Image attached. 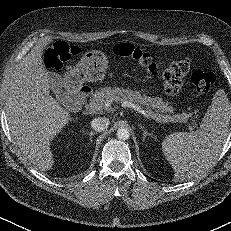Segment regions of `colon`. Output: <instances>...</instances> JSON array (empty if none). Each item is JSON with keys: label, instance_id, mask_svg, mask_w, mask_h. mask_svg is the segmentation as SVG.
I'll return each mask as SVG.
<instances>
[{"label": "colon", "instance_id": "5ec220e1", "mask_svg": "<svg viewBox=\"0 0 231 231\" xmlns=\"http://www.w3.org/2000/svg\"><path fill=\"white\" fill-rule=\"evenodd\" d=\"M113 52L115 55L129 59L136 66L145 70L151 76H157L158 71L155 63L148 53L136 48L129 43L117 44ZM80 53L79 48L69 45L67 42L59 40L46 47L44 52V61L48 68L59 70L63 64L71 57ZM191 68L188 58H183L173 62L163 73L164 88L169 94H176L180 91L183 80ZM192 84L199 94H206L215 83V75L207 71H195L191 77Z\"/></svg>", "mask_w": 231, "mask_h": 231}]
</instances>
